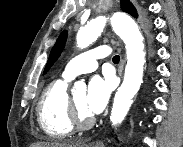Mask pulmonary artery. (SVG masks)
I'll return each instance as SVG.
<instances>
[{
  "mask_svg": "<svg viewBox=\"0 0 183 147\" xmlns=\"http://www.w3.org/2000/svg\"><path fill=\"white\" fill-rule=\"evenodd\" d=\"M112 49L108 45H101L72 58L63 71V77L72 80L76 76L90 73L97 69L98 60L109 56Z\"/></svg>",
  "mask_w": 183,
  "mask_h": 147,
  "instance_id": "pulmonary-artery-1",
  "label": "pulmonary artery"
}]
</instances>
